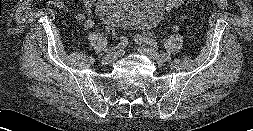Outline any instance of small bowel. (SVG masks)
Segmentation results:
<instances>
[{"instance_id": "c3829d8e", "label": "small bowel", "mask_w": 253, "mask_h": 131, "mask_svg": "<svg viewBox=\"0 0 253 131\" xmlns=\"http://www.w3.org/2000/svg\"><path fill=\"white\" fill-rule=\"evenodd\" d=\"M81 1L84 5L85 12H78L75 15V20L78 23L84 24L86 27H92L94 25V23H93V21L87 19V15H90L92 13L95 0H81ZM53 5L62 11L67 10V5L65 3V0H56L53 3Z\"/></svg>"}]
</instances>
